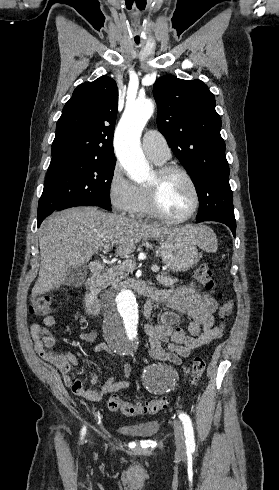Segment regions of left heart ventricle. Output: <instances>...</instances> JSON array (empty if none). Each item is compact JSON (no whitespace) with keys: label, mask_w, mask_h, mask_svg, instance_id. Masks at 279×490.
Here are the masks:
<instances>
[{"label":"left heart ventricle","mask_w":279,"mask_h":490,"mask_svg":"<svg viewBox=\"0 0 279 490\" xmlns=\"http://www.w3.org/2000/svg\"><path fill=\"white\" fill-rule=\"evenodd\" d=\"M157 179L155 172L148 184ZM160 204L170 216L181 217L188 213L194 202V193L189 182L180 174L166 176L160 187Z\"/></svg>","instance_id":"b2bd125f"}]
</instances>
